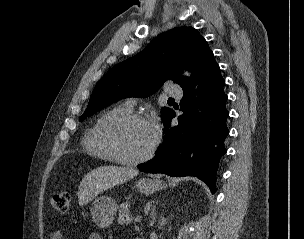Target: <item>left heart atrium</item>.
I'll return each instance as SVG.
<instances>
[{"label":"left heart atrium","instance_id":"39dd6f15","mask_svg":"<svg viewBox=\"0 0 304 239\" xmlns=\"http://www.w3.org/2000/svg\"><path fill=\"white\" fill-rule=\"evenodd\" d=\"M149 127H150L153 135L156 136L158 134V130H159L158 122L156 120L150 121L149 122Z\"/></svg>","mask_w":304,"mask_h":239}]
</instances>
